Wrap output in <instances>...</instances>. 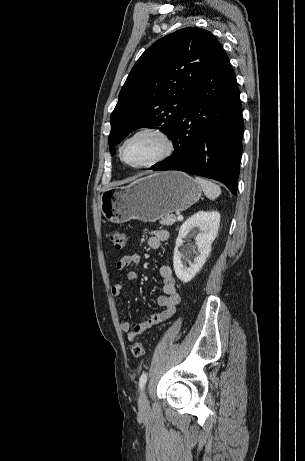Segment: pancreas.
<instances>
[{"label": "pancreas", "instance_id": "obj_1", "mask_svg": "<svg viewBox=\"0 0 305 461\" xmlns=\"http://www.w3.org/2000/svg\"><path fill=\"white\" fill-rule=\"evenodd\" d=\"M177 221V218L173 214H167L166 216L162 217L160 219V224L161 225H166V226H171Z\"/></svg>", "mask_w": 305, "mask_h": 461}]
</instances>
